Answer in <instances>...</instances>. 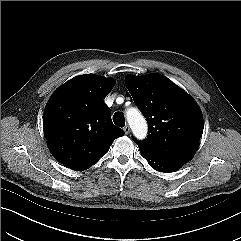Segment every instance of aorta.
Masks as SVG:
<instances>
[{
  "label": "aorta",
  "instance_id": "aorta-1",
  "mask_svg": "<svg viewBox=\"0 0 241 241\" xmlns=\"http://www.w3.org/2000/svg\"><path fill=\"white\" fill-rule=\"evenodd\" d=\"M127 121L137 139H145L148 131L147 122L142 114L135 108L126 112Z\"/></svg>",
  "mask_w": 241,
  "mask_h": 241
}]
</instances>
